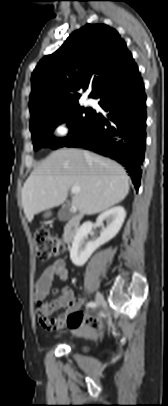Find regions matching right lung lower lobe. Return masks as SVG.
Listing matches in <instances>:
<instances>
[{"label":"right lung lower lobe","mask_w":168,"mask_h":406,"mask_svg":"<svg viewBox=\"0 0 168 406\" xmlns=\"http://www.w3.org/2000/svg\"><path fill=\"white\" fill-rule=\"evenodd\" d=\"M95 98L106 115L95 112L87 126L65 146L85 148L125 166L138 190L145 152L146 95L140 73L104 89Z\"/></svg>","instance_id":"right-lung-lower-lobe-1"}]
</instances>
